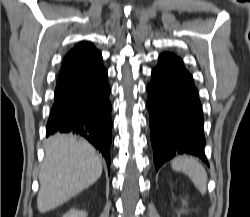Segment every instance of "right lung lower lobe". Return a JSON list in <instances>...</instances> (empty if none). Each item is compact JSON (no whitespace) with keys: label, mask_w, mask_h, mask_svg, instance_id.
<instances>
[{"label":"right lung lower lobe","mask_w":250,"mask_h":217,"mask_svg":"<svg viewBox=\"0 0 250 217\" xmlns=\"http://www.w3.org/2000/svg\"><path fill=\"white\" fill-rule=\"evenodd\" d=\"M109 93L101 54L81 69L59 77L46 136L56 133L83 136L102 154L109 169L112 131Z\"/></svg>","instance_id":"98d812e1"}]
</instances>
